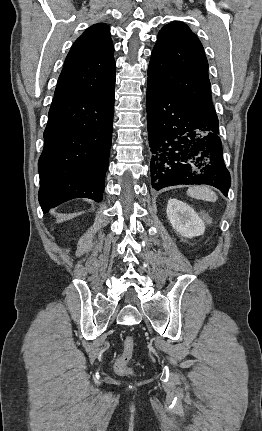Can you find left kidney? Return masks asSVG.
<instances>
[{
    "label": "left kidney",
    "mask_w": 262,
    "mask_h": 431,
    "mask_svg": "<svg viewBox=\"0 0 262 431\" xmlns=\"http://www.w3.org/2000/svg\"><path fill=\"white\" fill-rule=\"evenodd\" d=\"M166 212L173 229L181 236L192 238L204 234L205 225L203 221L187 204L176 199H170Z\"/></svg>",
    "instance_id": "5707ae66"
}]
</instances>
